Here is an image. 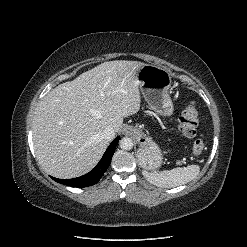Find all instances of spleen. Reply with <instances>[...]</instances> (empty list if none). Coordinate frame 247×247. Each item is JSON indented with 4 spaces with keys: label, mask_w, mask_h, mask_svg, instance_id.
Returning a JSON list of instances; mask_svg holds the SVG:
<instances>
[{
    "label": "spleen",
    "mask_w": 247,
    "mask_h": 247,
    "mask_svg": "<svg viewBox=\"0 0 247 247\" xmlns=\"http://www.w3.org/2000/svg\"><path fill=\"white\" fill-rule=\"evenodd\" d=\"M199 172L200 167L198 165H188L187 167H177L161 172H146L145 176L150 183L156 186L172 188L192 181Z\"/></svg>",
    "instance_id": "1"
}]
</instances>
